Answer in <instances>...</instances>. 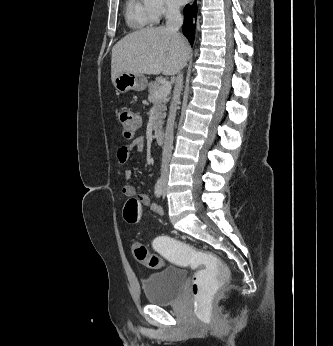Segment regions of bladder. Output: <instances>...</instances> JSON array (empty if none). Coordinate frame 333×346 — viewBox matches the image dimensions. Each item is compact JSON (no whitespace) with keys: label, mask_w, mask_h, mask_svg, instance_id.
Wrapping results in <instances>:
<instances>
[{"label":"bladder","mask_w":333,"mask_h":346,"mask_svg":"<svg viewBox=\"0 0 333 346\" xmlns=\"http://www.w3.org/2000/svg\"><path fill=\"white\" fill-rule=\"evenodd\" d=\"M186 273L179 267H166L160 272L148 275L143 281L147 301L152 305H166L174 302L182 291Z\"/></svg>","instance_id":"bladder-1"}]
</instances>
